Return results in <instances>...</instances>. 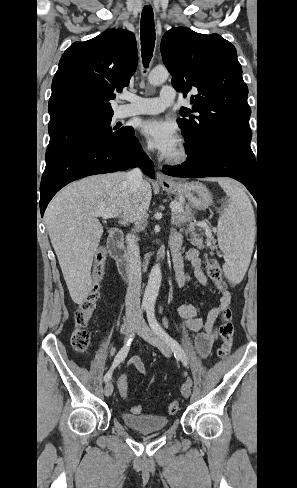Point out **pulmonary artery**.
Returning <instances> with one entry per match:
<instances>
[{
	"label": "pulmonary artery",
	"instance_id": "obj_1",
	"mask_svg": "<svg viewBox=\"0 0 297 488\" xmlns=\"http://www.w3.org/2000/svg\"><path fill=\"white\" fill-rule=\"evenodd\" d=\"M125 99L129 100L131 104L120 108V117L157 114L162 112L174 101L175 90L170 86H165L161 89L160 96L156 98H143L134 94H127L125 95Z\"/></svg>",
	"mask_w": 297,
	"mask_h": 488
}]
</instances>
